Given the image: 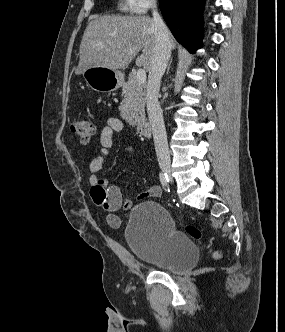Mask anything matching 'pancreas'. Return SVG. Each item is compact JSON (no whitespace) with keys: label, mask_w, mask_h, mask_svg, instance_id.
Masks as SVG:
<instances>
[{"label":"pancreas","mask_w":285,"mask_h":332,"mask_svg":"<svg viewBox=\"0 0 285 332\" xmlns=\"http://www.w3.org/2000/svg\"><path fill=\"white\" fill-rule=\"evenodd\" d=\"M122 91L124 95L120 106L122 117L131 124L141 125L145 122L146 86L139 84L136 75L131 73Z\"/></svg>","instance_id":"obj_1"}]
</instances>
